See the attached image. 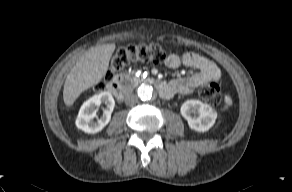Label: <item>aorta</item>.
Instances as JSON below:
<instances>
[{
    "label": "aorta",
    "instance_id": "aorta-1",
    "mask_svg": "<svg viewBox=\"0 0 292 192\" xmlns=\"http://www.w3.org/2000/svg\"><path fill=\"white\" fill-rule=\"evenodd\" d=\"M138 97L142 101H149L154 97L153 87L148 84H142L137 90Z\"/></svg>",
    "mask_w": 292,
    "mask_h": 192
}]
</instances>
